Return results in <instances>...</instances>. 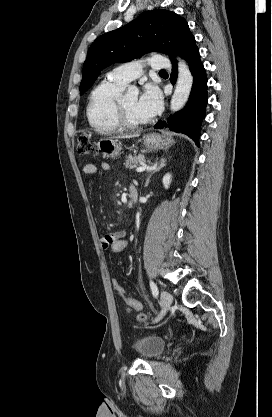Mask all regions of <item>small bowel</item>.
Here are the masks:
<instances>
[{
  "label": "small bowel",
  "instance_id": "1",
  "mask_svg": "<svg viewBox=\"0 0 272 417\" xmlns=\"http://www.w3.org/2000/svg\"><path fill=\"white\" fill-rule=\"evenodd\" d=\"M108 169H109V164L107 162L100 161L97 164L90 163V164L84 165L83 173L85 175H93L98 170H108ZM118 237H125V233L123 231H113V232L104 234L101 238L102 247L107 250L110 242L113 239H116Z\"/></svg>",
  "mask_w": 272,
  "mask_h": 417
}]
</instances>
